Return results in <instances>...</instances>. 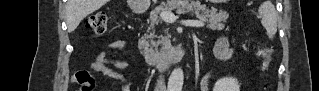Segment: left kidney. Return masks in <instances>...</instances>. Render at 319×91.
I'll return each mask as SVG.
<instances>
[{
    "label": "left kidney",
    "instance_id": "1",
    "mask_svg": "<svg viewBox=\"0 0 319 91\" xmlns=\"http://www.w3.org/2000/svg\"><path fill=\"white\" fill-rule=\"evenodd\" d=\"M239 83L236 78L226 77L219 79L214 86V91H239Z\"/></svg>",
    "mask_w": 319,
    "mask_h": 91
}]
</instances>
